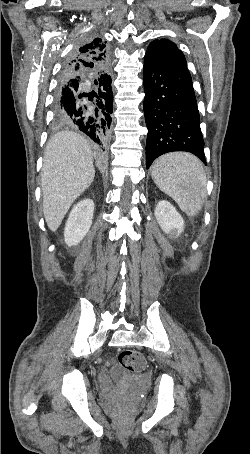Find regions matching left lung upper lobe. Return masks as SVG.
<instances>
[{
    "mask_svg": "<svg viewBox=\"0 0 250 454\" xmlns=\"http://www.w3.org/2000/svg\"><path fill=\"white\" fill-rule=\"evenodd\" d=\"M146 54L165 63L186 65L183 53L176 44L167 39L154 40L150 43Z\"/></svg>",
    "mask_w": 250,
    "mask_h": 454,
    "instance_id": "left-lung-upper-lobe-1",
    "label": "left lung upper lobe"
}]
</instances>
